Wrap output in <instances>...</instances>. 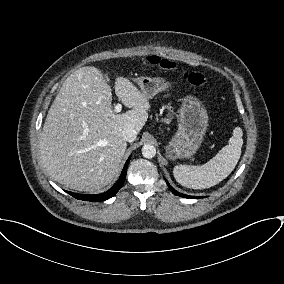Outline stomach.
I'll list each match as a JSON object with an SVG mask.
<instances>
[{
	"instance_id": "stomach-1",
	"label": "stomach",
	"mask_w": 284,
	"mask_h": 284,
	"mask_svg": "<svg viewBox=\"0 0 284 284\" xmlns=\"http://www.w3.org/2000/svg\"><path fill=\"white\" fill-rule=\"evenodd\" d=\"M147 98L166 91L170 83L162 77H140L136 80ZM208 126V115L204 105L193 96L183 99L179 110V124L174 136L166 146L169 159H189L201 146Z\"/></svg>"
}]
</instances>
